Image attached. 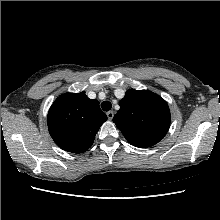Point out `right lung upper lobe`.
<instances>
[{
	"label": "right lung upper lobe",
	"instance_id": "cb5924a9",
	"mask_svg": "<svg viewBox=\"0 0 220 220\" xmlns=\"http://www.w3.org/2000/svg\"><path fill=\"white\" fill-rule=\"evenodd\" d=\"M106 120L99 102L81 92L59 96L49 109L47 123L52 139L61 149L79 154L92 146Z\"/></svg>",
	"mask_w": 220,
	"mask_h": 220
}]
</instances>
